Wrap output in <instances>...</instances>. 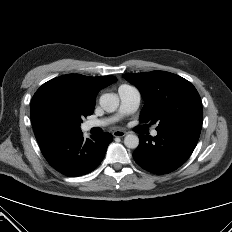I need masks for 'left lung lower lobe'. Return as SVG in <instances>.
<instances>
[{
	"label": "left lung lower lobe",
	"instance_id": "0a47b994",
	"mask_svg": "<svg viewBox=\"0 0 232 232\" xmlns=\"http://www.w3.org/2000/svg\"><path fill=\"white\" fill-rule=\"evenodd\" d=\"M156 137L140 134L139 146L133 158L143 169L155 173H170L183 165L197 145L201 126L174 125L157 129Z\"/></svg>",
	"mask_w": 232,
	"mask_h": 232
}]
</instances>
